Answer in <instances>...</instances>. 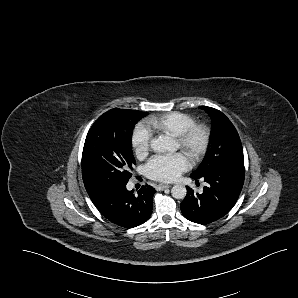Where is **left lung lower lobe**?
Instances as JSON below:
<instances>
[{"label": "left lung lower lobe", "instance_id": "left-lung-lower-lobe-1", "mask_svg": "<svg viewBox=\"0 0 298 298\" xmlns=\"http://www.w3.org/2000/svg\"><path fill=\"white\" fill-rule=\"evenodd\" d=\"M191 177L196 185L199 178H204L208 186L201 194L188 188L181 211L186 219L206 225L226 215L236 203L244 182V160Z\"/></svg>", "mask_w": 298, "mask_h": 298}]
</instances>
